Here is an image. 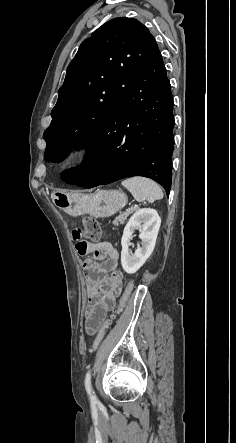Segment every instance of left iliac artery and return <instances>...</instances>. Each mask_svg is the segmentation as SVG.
<instances>
[{
    "mask_svg": "<svg viewBox=\"0 0 236 443\" xmlns=\"http://www.w3.org/2000/svg\"><path fill=\"white\" fill-rule=\"evenodd\" d=\"M85 388H86V391L89 395L91 402L95 403L97 401V397H96V395L92 389V386H91V371L90 370H88L86 377H85Z\"/></svg>",
    "mask_w": 236,
    "mask_h": 443,
    "instance_id": "1",
    "label": "left iliac artery"
}]
</instances>
